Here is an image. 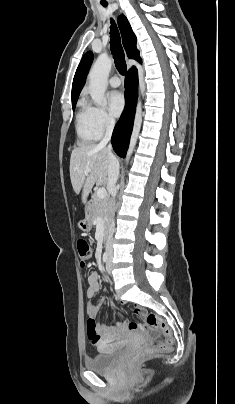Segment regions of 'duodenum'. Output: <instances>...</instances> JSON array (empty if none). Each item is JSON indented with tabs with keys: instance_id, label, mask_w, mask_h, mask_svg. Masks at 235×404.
<instances>
[{
	"instance_id": "410a0bca",
	"label": "duodenum",
	"mask_w": 235,
	"mask_h": 404,
	"mask_svg": "<svg viewBox=\"0 0 235 404\" xmlns=\"http://www.w3.org/2000/svg\"><path fill=\"white\" fill-rule=\"evenodd\" d=\"M91 208H92V204H90V210H89V213H91ZM106 240H107V236H106V235H104V237H103V243H105V242H106Z\"/></svg>"
}]
</instances>
